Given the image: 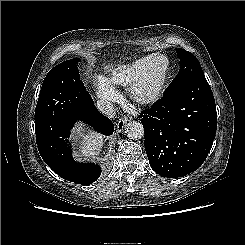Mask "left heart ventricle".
I'll use <instances>...</instances> for the list:
<instances>
[{"label":"left heart ventricle","mask_w":245,"mask_h":245,"mask_svg":"<svg viewBox=\"0 0 245 245\" xmlns=\"http://www.w3.org/2000/svg\"><path fill=\"white\" fill-rule=\"evenodd\" d=\"M165 67V61L161 58L153 59L148 72L147 90H152L158 83Z\"/></svg>","instance_id":"obj_1"}]
</instances>
